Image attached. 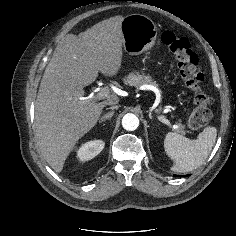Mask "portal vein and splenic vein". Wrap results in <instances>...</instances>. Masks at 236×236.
Listing matches in <instances>:
<instances>
[{"instance_id":"1","label":"portal vein and splenic vein","mask_w":236,"mask_h":236,"mask_svg":"<svg viewBox=\"0 0 236 236\" xmlns=\"http://www.w3.org/2000/svg\"><path fill=\"white\" fill-rule=\"evenodd\" d=\"M109 90L108 88H101L96 95L91 94L89 97L84 98L85 100H91V99H96V100H101V99H105L109 96ZM159 121L163 122L164 124H166L167 126L173 127V128H177V125H172V123L166 119L164 116H158Z\"/></svg>"}]
</instances>
